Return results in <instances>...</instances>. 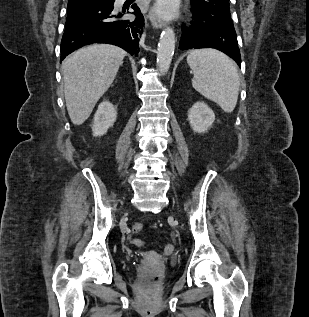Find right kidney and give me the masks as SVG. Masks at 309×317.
<instances>
[{"mask_svg": "<svg viewBox=\"0 0 309 317\" xmlns=\"http://www.w3.org/2000/svg\"><path fill=\"white\" fill-rule=\"evenodd\" d=\"M117 111L113 104L105 100L98 106L94 115L92 132L94 136H102L116 121Z\"/></svg>", "mask_w": 309, "mask_h": 317, "instance_id": "right-kidney-1", "label": "right kidney"}]
</instances>
